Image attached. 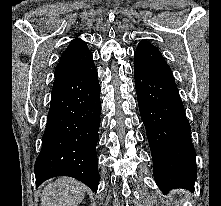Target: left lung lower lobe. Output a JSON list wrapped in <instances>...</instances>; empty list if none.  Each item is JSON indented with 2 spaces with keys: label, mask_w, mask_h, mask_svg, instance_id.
<instances>
[{
  "label": "left lung lower lobe",
  "mask_w": 221,
  "mask_h": 206,
  "mask_svg": "<svg viewBox=\"0 0 221 206\" xmlns=\"http://www.w3.org/2000/svg\"><path fill=\"white\" fill-rule=\"evenodd\" d=\"M134 75L157 185L164 192L173 188L194 191L195 150L174 78L137 71Z\"/></svg>",
  "instance_id": "0a47b994"
}]
</instances>
